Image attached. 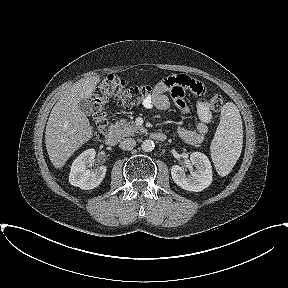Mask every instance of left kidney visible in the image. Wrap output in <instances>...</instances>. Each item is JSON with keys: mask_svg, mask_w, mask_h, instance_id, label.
Returning a JSON list of instances; mask_svg holds the SVG:
<instances>
[{"mask_svg": "<svg viewBox=\"0 0 288 288\" xmlns=\"http://www.w3.org/2000/svg\"><path fill=\"white\" fill-rule=\"evenodd\" d=\"M191 164L195 167L190 175L179 165H173L171 175L173 181L182 189L190 192H200L212 182V166L208 157L201 152H193L190 155Z\"/></svg>", "mask_w": 288, "mask_h": 288, "instance_id": "left-kidney-1", "label": "left kidney"}]
</instances>
